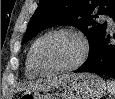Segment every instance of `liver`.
Returning <instances> with one entry per match:
<instances>
[{
  "label": "liver",
  "mask_w": 115,
  "mask_h": 99,
  "mask_svg": "<svg viewBox=\"0 0 115 99\" xmlns=\"http://www.w3.org/2000/svg\"><path fill=\"white\" fill-rule=\"evenodd\" d=\"M64 77H66V76H62V77H60V78H56V79H54L53 81L48 82V83H43V84H41V83L31 84V85H29V86L27 87V90H28V89L43 88V87H45V86H47V85L54 84V83L58 82L60 79H62V78H64Z\"/></svg>",
  "instance_id": "obj_1"
}]
</instances>
